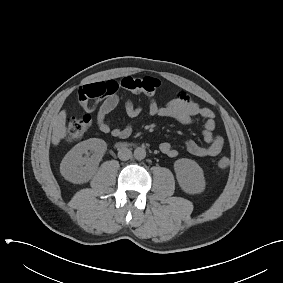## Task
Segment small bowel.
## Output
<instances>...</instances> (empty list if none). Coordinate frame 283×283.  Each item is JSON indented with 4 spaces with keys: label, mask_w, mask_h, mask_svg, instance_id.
Masks as SVG:
<instances>
[{
    "label": "small bowel",
    "mask_w": 283,
    "mask_h": 283,
    "mask_svg": "<svg viewBox=\"0 0 283 283\" xmlns=\"http://www.w3.org/2000/svg\"><path fill=\"white\" fill-rule=\"evenodd\" d=\"M117 84V81L110 80L84 85L79 90L78 99L80 106L86 112H92L96 108L97 102L103 100L97 110V124L99 130L115 138L126 139L131 136L133 125L129 123L122 128L112 127L107 118L108 114L119 104ZM124 109L126 115L131 119H137L143 113L142 106L134 103L131 99L125 101ZM146 116L171 118L182 124H190L195 119L201 118L204 120L202 138L205 144L188 140L185 143L186 151L196 157H215L219 155L223 149V138L214 133L216 127L215 113L210 108L201 106L199 103L193 101L184 91L178 92L176 97L165 105L152 99L148 105ZM159 148L163 154L171 158L179 154L178 150L169 142H162Z\"/></svg>",
    "instance_id": "obj_1"
}]
</instances>
